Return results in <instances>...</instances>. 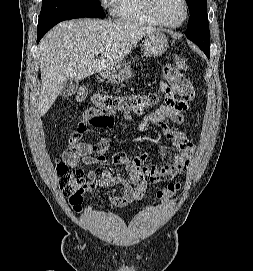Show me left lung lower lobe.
Here are the masks:
<instances>
[{"label": "left lung lower lobe", "instance_id": "left-lung-lower-lobe-1", "mask_svg": "<svg viewBox=\"0 0 253 271\" xmlns=\"http://www.w3.org/2000/svg\"><path fill=\"white\" fill-rule=\"evenodd\" d=\"M210 50V49H209ZM209 50H205L204 53L207 55V57L209 58Z\"/></svg>", "mask_w": 253, "mask_h": 271}]
</instances>
